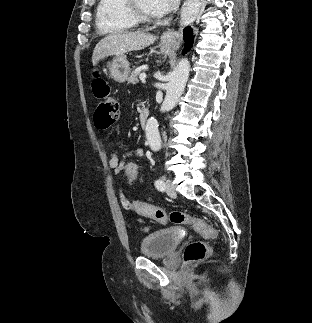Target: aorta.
I'll use <instances>...</instances> for the list:
<instances>
[{
	"label": "aorta",
	"instance_id": "obj_1",
	"mask_svg": "<svg viewBox=\"0 0 312 323\" xmlns=\"http://www.w3.org/2000/svg\"><path fill=\"white\" fill-rule=\"evenodd\" d=\"M189 72L190 62H188L187 58H184V60H181L178 66H176L170 78V82L167 84L166 96L161 106V112H169V110L175 108L182 92H184L186 82L189 78ZM145 134L151 150H154V152L161 150V136L158 130V122L155 118H149V120H147Z\"/></svg>",
	"mask_w": 312,
	"mask_h": 323
}]
</instances>
